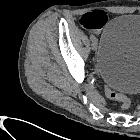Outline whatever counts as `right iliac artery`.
<instances>
[{
	"label": "right iliac artery",
	"mask_w": 140,
	"mask_h": 140,
	"mask_svg": "<svg viewBox=\"0 0 140 140\" xmlns=\"http://www.w3.org/2000/svg\"><path fill=\"white\" fill-rule=\"evenodd\" d=\"M90 39H91V40H94V39H95V36H94V35H91V36H90Z\"/></svg>",
	"instance_id": "obj_1"
}]
</instances>
